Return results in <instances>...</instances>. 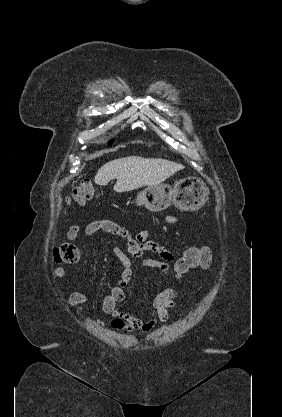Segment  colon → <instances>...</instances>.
Wrapping results in <instances>:
<instances>
[{
	"label": "colon",
	"instance_id": "obj_1",
	"mask_svg": "<svg viewBox=\"0 0 282 417\" xmlns=\"http://www.w3.org/2000/svg\"><path fill=\"white\" fill-rule=\"evenodd\" d=\"M97 192V187L90 182H82L76 185L69 197L75 203H84L91 199ZM81 257L80 249L72 243L64 242L57 246L53 253L56 262L75 264ZM180 266H164V270L178 277L185 276L197 266L208 268L212 264V252L208 247H191L180 256Z\"/></svg>",
	"mask_w": 282,
	"mask_h": 417
}]
</instances>
